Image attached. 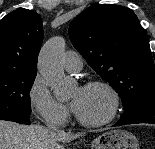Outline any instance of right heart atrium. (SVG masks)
<instances>
[{"label":"right heart atrium","instance_id":"d8ad5b80","mask_svg":"<svg viewBox=\"0 0 155 149\" xmlns=\"http://www.w3.org/2000/svg\"><path fill=\"white\" fill-rule=\"evenodd\" d=\"M29 99L33 109L44 122L55 126L67 123V108L53 97L47 83L39 75L30 86Z\"/></svg>","mask_w":155,"mask_h":149}]
</instances>
